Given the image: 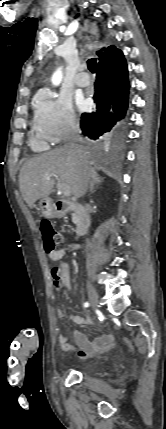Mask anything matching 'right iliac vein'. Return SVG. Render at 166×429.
<instances>
[{"label":"right iliac vein","mask_w":166,"mask_h":429,"mask_svg":"<svg viewBox=\"0 0 166 429\" xmlns=\"http://www.w3.org/2000/svg\"><path fill=\"white\" fill-rule=\"evenodd\" d=\"M87 291H88L90 303L93 306V308L99 307L97 292H96L95 288L89 282H87Z\"/></svg>","instance_id":"63e3f726"}]
</instances>
